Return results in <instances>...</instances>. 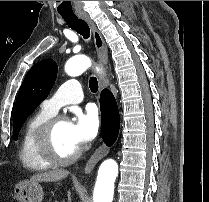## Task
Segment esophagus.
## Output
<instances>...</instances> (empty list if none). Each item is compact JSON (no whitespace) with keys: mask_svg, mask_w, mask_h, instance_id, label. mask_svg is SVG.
<instances>
[{"mask_svg":"<svg viewBox=\"0 0 209 202\" xmlns=\"http://www.w3.org/2000/svg\"><path fill=\"white\" fill-rule=\"evenodd\" d=\"M80 19H83L86 21V23L89 25L94 39V45L96 48L97 56L99 59V65L102 69L107 68V61H108V51L107 46L105 44V41L103 37L101 36L100 32L98 31L95 23L90 19V17L85 12H80L77 14ZM107 85V79L104 75L99 76V87L102 89ZM109 148L106 147L105 144H101L91 155L89 160L87 161L85 167H84V173L90 174L95 165L104 158L108 152Z\"/></svg>","mask_w":209,"mask_h":202,"instance_id":"esophagus-1","label":"esophagus"}]
</instances>
